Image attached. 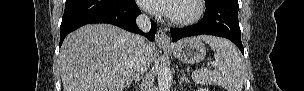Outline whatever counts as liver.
<instances>
[{
	"label": "liver",
	"mask_w": 304,
	"mask_h": 91,
	"mask_svg": "<svg viewBox=\"0 0 304 91\" xmlns=\"http://www.w3.org/2000/svg\"><path fill=\"white\" fill-rule=\"evenodd\" d=\"M148 59L156 56L149 44ZM138 61L135 35L111 24H89L70 33L60 50L64 91H123Z\"/></svg>",
	"instance_id": "1"
}]
</instances>
